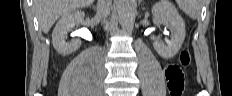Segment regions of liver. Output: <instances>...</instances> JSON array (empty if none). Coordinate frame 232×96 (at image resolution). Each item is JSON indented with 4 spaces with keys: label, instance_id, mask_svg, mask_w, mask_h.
<instances>
[{
    "label": "liver",
    "instance_id": "6515ba94",
    "mask_svg": "<svg viewBox=\"0 0 232 96\" xmlns=\"http://www.w3.org/2000/svg\"><path fill=\"white\" fill-rule=\"evenodd\" d=\"M94 0H34V6L40 28L48 33L55 21L68 12L80 7H87Z\"/></svg>",
    "mask_w": 232,
    "mask_h": 96
}]
</instances>
